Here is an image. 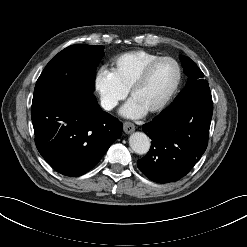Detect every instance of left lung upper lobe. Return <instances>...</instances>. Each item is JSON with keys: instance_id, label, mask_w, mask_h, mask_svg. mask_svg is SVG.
Returning a JSON list of instances; mask_svg holds the SVG:
<instances>
[{"instance_id": "1", "label": "left lung upper lobe", "mask_w": 247, "mask_h": 247, "mask_svg": "<svg viewBox=\"0 0 247 247\" xmlns=\"http://www.w3.org/2000/svg\"><path fill=\"white\" fill-rule=\"evenodd\" d=\"M180 59L184 68V72L190 81L187 83L186 88L178 94V96L169 106H174L192 95L195 91L203 87H208V82L203 78V72L196 66V64L190 58L183 55L180 56Z\"/></svg>"}]
</instances>
